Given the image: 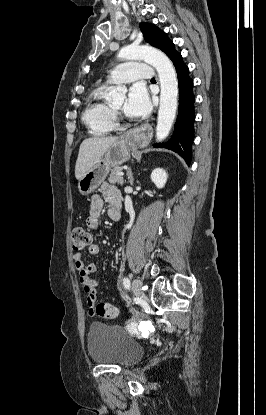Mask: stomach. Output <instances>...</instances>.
Segmentation results:
<instances>
[{"label": "stomach", "mask_w": 266, "mask_h": 415, "mask_svg": "<svg viewBox=\"0 0 266 415\" xmlns=\"http://www.w3.org/2000/svg\"><path fill=\"white\" fill-rule=\"evenodd\" d=\"M131 140L122 137L113 143L99 161L78 180L81 195H89L106 179L109 171L130 159Z\"/></svg>", "instance_id": "obj_1"}]
</instances>
